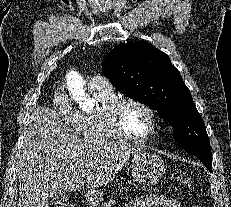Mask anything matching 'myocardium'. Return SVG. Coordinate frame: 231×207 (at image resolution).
Masks as SVG:
<instances>
[{
    "label": "myocardium",
    "mask_w": 231,
    "mask_h": 207,
    "mask_svg": "<svg viewBox=\"0 0 231 207\" xmlns=\"http://www.w3.org/2000/svg\"><path fill=\"white\" fill-rule=\"evenodd\" d=\"M128 104H135L142 107L149 115L151 128L150 132L144 137H133L127 133L121 120L122 109ZM107 122L112 131L122 140L132 143H145L151 140L157 133L158 119L155 110L146 102L137 98L125 97L116 99L108 108Z\"/></svg>",
    "instance_id": "myocardium-1"
}]
</instances>
